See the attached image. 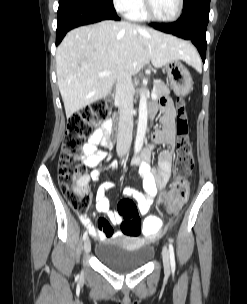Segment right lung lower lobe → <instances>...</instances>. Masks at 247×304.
Instances as JSON below:
<instances>
[{"label": "right lung lower lobe", "mask_w": 247, "mask_h": 304, "mask_svg": "<svg viewBox=\"0 0 247 304\" xmlns=\"http://www.w3.org/2000/svg\"><path fill=\"white\" fill-rule=\"evenodd\" d=\"M110 19H120L112 2L102 0H59L56 45L73 28Z\"/></svg>", "instance_id": "98d812e1"}]
</instances>
